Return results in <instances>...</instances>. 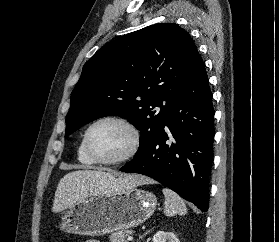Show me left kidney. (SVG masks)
I'll use <instances>...</instances> for the list:
<instances>
[{"label": "left kidney", "instance_id": "5707ae66", "mask_svg": "<svg viewBox=\"0 0 279 242\" xmlns=\"http://www.w3.org/2000/svg\"><path fill=\"white\" fill-rule=\"evenodd\" d=\"M153 242H180L172 232L158 231L153 236Z\"/></svg>", "mask_w": 279, "mask_h": 242}]
</instances>
